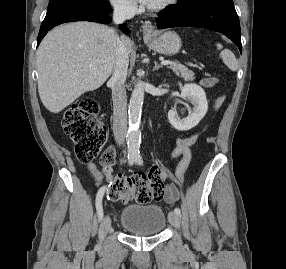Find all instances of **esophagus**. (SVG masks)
I'll return each instance as SVG.
<instances>
[{
    "instance_id": "esophagus-1",
    "label": "esophagus",
    "mask_w": 286,
    "mask_h": 269,
    "mask_svg": "<svg viewBox=\"0 0 286 269\" xmlns=\"http://www.w3.org/2000/svg\"><path fill=\"white\" fill-rule=\"evenodd\" d=\"M142 32L144 37H149L154 32V26L151 23L146 22L142 26Z\"/></svg>"
}]
</instances>
